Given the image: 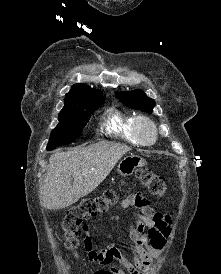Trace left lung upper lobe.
I'll return each instance as SVG.
<instances>
[{
    "mask_svg": "<svg viewBox=\"0 0 221 274\" xmlns=\"http://www.w3.org/2000/svg\"><path fill=\"white\" fill-rule=\"evenodd\" d=\"M116 95L122 103L130 108L140 109L148 113L153 111L155 101L143 93L142 90L116 92Z\"/></svg>",
    "mask_w": 221,
    "mask_h": 274,
    "instance_id": "left-lung-upper-lobe-1",
    "label": "left lung upper lobe"
}]
</instances>
